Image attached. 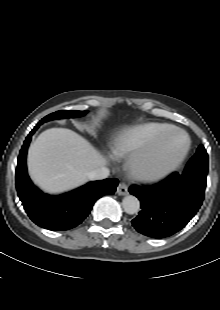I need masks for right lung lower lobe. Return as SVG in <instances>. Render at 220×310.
Wrapping results in <instances>:
<instances>
[{
    "mask_svg": "<svg viewBox=\"0 0 220 310\" xmlns=\"http://www.w3.org/2000/svg\"><path fill=\"white\" fill-rule=\"evenodd\" d=\"M40 125L39 122L30 132L20 150L16 168L17 193L26 213L35 224L48 230H69L83 222L100 197L114 194L118 180L111 178L89 182L58 196L41 192L32 184L26 168L31 136Z\"/></svg>",
    "mask_w": 220,
    "mask_h": 310,
    "instance_id": "1",
    "label": "right lung lower lobe"
}]
</instances>
